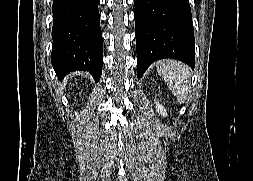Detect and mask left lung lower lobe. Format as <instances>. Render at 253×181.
Wrapping results in <instances>:
<instances>
[{"instance_id":"left-lung-lower-lobe-1","label":"left lung lower lobe","mask_w":253,"mask_h":181,"mask_svg":"<svg viewBox=\"0 0 253 181\" xmlns=\"http://www.w3.org/2000/svg\"><path fill=\"white\" fill-rule=\"evenodd\" d=\"M134 5L137 77L164 58L193 69L195 42L188 0H134Z\"/></svg>"}]
</instances>
